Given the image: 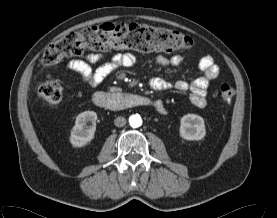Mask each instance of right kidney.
Wrapping results in <instances>:
<instances>
[{"instance_id": "1", "label": "right kidney", "mask_w": 277, "mask_h": 218, "mask_svg": "<svg viewBox=\"0 0 277 218\" xmlns=\"http://www.w3.org/2000/svg\"><path fill=\"white\" fill-rule=\"evenodd\" d=\"M96 120L97 114L94 111H84L76 117L70 136V142L73 146L83 147L94 138ZM88 122H92V125L87 126Z\"/></svg>"}]
</instances>
